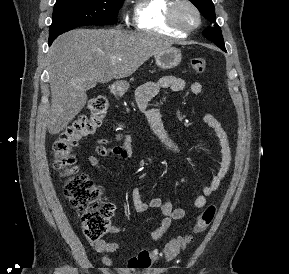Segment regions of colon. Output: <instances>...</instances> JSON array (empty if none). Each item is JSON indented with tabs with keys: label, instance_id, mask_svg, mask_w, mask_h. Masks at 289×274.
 I'll use <instances>...</instances> for the list:
<instances>
[{
	"label": "colon",
	"instance_id": "colon-1",
	"mask_svg": "<svg viewBox=\"0 0 289 274\" xmlns=\"http://www.w3.org/2000/svg\"><path fill=\"white\" fill-rule=\"evenodd\" d=\"M193 71L202 74L206 69L204 57H194L190 61ZM108 109V102L102 96L92 98L88 104V114L75 119L53 144L54 167L65 178L64 193L70 204L80 215L83 231L87 239L96 242L111 231V217L114 206L101 199V190L85 174L79 173L72 149L78 142L91 135L101 124ZM217 207L208 205L197 217L192 230L169 241L163 252L143 250L132 257L129 268L146 269L154 262L170 261L185 249L195 236L205 231L215 219Z\"/></svg>",
	"mask_w": 289,
	"mask_h": 274
}]
</instances>
